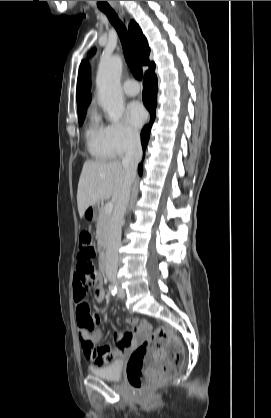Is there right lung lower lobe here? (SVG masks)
<instances>
[{"label":"right lung lower lobe","instance_id":"98d812e1","mask_svg":"<svg viewBox=\"0 0 271 418\" xmlns=\"http://www.w3.org/2000/svg\"><path fill=\"white\" fill-rule=\"evenodd\" d=\"M154 70L155 67L149 69L145 73L143 81V102L151 115L150 122L142 129L141 143L143 151H145L150 137V130L155 119V110L157 106V77ZM138 172L140 175L142 174V163L138 166Z\"/></svg>","mask_w":271,"mask_h":418}]
</instances>
